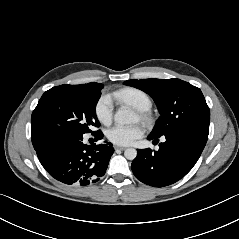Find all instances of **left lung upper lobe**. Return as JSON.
Segmentation results:
<instances>
[{"mask_svg": "<svg viewBox=\"0 0 239 239\" xmlns=\"http://www.w3.org/2000/svg\"><path fill=\"white\" fill-rule=\"evenodd\" d=\"M124 84L144 91L156 103L161 116L151 136L173 132L208 136L210 111L199 88L180 79L128 80Z\"/></svg>", "mask_w": 239, "mask_h": 239, "instance_id": "left-lung-upper-lobe-1", "label": "left lung upper lobe"}]
</instances>
